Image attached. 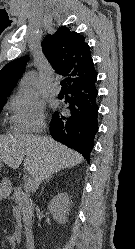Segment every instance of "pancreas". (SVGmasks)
Here are the masks:
<instances>
[{
  "label": "pancreas",
  "mask_w": 135,
  "mask_h": 249,
  "mask_svg": "<svg viewBox=\"0 0 135 249\" xmlns=\"http://www.w3.org/2000/svg\"><path fill=\"white\" fill-rule=\"evenodd\" d=\"M13 199L17 204L16 208L21 211L23 216L30 222L33 214V204L27 193L22 192L19 187L14 188Z\"/></svg>",
  "instance_id": "obj_1"
}]
</instances>
